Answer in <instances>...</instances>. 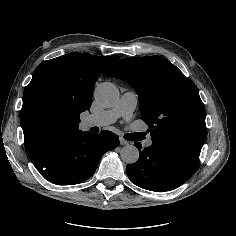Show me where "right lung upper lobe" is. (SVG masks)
Listing matches in <instances>:
<instances>
[{
	"mask_svg": "<svg viewBox=\"0 0 236 236\" xmlns=\"http://www.w3.org/2000/svg\"><path fill=\"white\" fill-rule=\"evenodd\" d=\"M118 58L120 57L70 53L39 64L24 90L20 118L25 149L35 167L39 166L59 143L80 132V113L91 106L96 79ZM41 99L54 101L64 112V124L54 134L41 133L30 123V108Z\"/></svg>",
	"mask_w": 236,
	"mask_h": 236,
	"instance_id": "1",
	"label": "right lung upper lobe"
}]
</instances>
